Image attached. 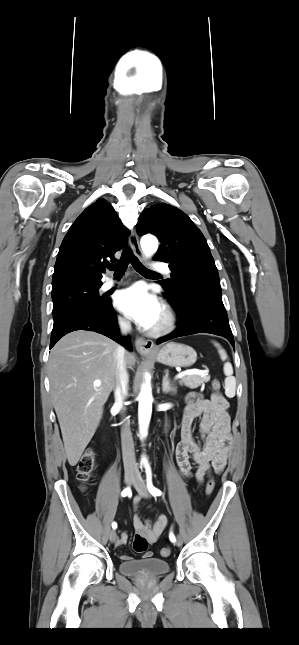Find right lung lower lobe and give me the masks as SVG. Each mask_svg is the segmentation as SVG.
I'll list each match as a JSON object with an SVG mask.
<instances>
[{"label":"right lung lower lobe","instance_id":"1","mask_svg":"<svg viewBox=\"0 0 299 645\" xmlns=\"http://www.w3.org/2000/svg\"><path fill=\"white\" fill-rule=\"evenodd\" d=\"M111 300L101 308L86 309L75 312L57 324H54L50 348L64 335L76 330H89L103 334L131 350L129 338L119 335L118 324Z\"/></svg>","mask_w":299,"mask_h":645}]
</instances>
